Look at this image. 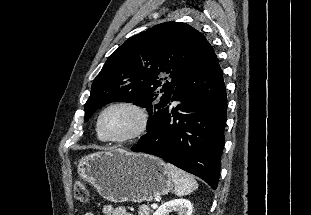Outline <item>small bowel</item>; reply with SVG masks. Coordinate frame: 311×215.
Listing matches in <instances>:
<instances>
[{
  "label": "small bowel",
  "mask_w": 311,
  "mask_h": 215,
  "mask_svg": "<svg viewBox=\"0 0 311 215\" xmlns=\"http://www.w3.org/2000/svg\"><path fill=\"white\" fill-rule=\"evenodd\" d=\"M84 215H95L92 212H86ZM101 215H133L132 213L128 212L123 207H113L110 204H106L102 208Z\"/></svg>",
  "instance_id": "small-bowel-1"
}]
</instances>
